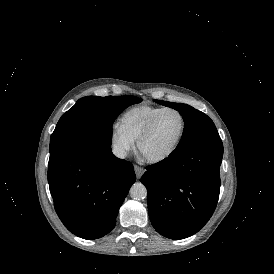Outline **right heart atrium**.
Here are the masks:
<instances>
[{
  "instance_id": "d8ad5b80",
  "label": "right heart atrium",
  "mask_w": 274,
  "mask_h": 274,
  "mask_svg": "<svg viewBox=\"0 0 274 274\" xmlns=\"http://www.w3.org/2000/svg\"><path fill=\"white\" fill-rule=\"evenodd\" d=\"M110 143L121 158H125L134 149V141L129 139L116 125L111 127Z\"/></svg>"
}]
</instances>
